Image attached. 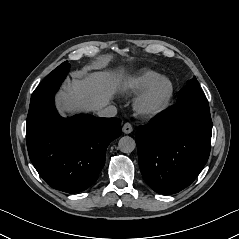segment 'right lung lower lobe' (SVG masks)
Segmentation results:
<instances>
[{
    "instance_id": "1",
    "label": "right lung lower lobe",
    "mask_w": 239,
    "mask_h": 239,
    "mask_svg": "<svg viewBox=\"0 0 239 239\" xmlns=\"http://www.w3.org/2000/svg\"><path fill=\"white\" fill-rule=\"evenodd\" d=\"M55 84L31 98L26 141L30 160L52 188L77 193L98 178L105 150L121 135L118 118H62L54 106Z\"/></svg>"
}]
</instances>
